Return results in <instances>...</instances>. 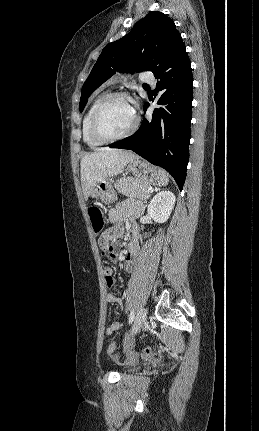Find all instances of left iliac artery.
<instances>
[{
    "label": "left iliac artery",
    "mask_w": 259,
    "mask_h": 431,
    "mask_svg": "<svg viewBox=\"0 0 259 431\" xmlns=\"http://www.w3.org/2000/svg\"><path fill=\"white\" fill-rule=\"evenodd\" d=\"M134 316H135L134 310H131V312H130V316H129V323H132V322H133V320H134Z\"/></svg>",
    "instance_id": "obj_1"
}]
</instances>
